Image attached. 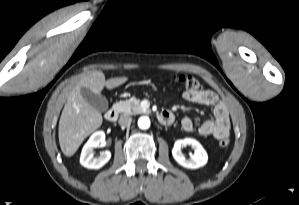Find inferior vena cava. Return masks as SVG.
<instances>
[{"label":"inferior vena cava","mask_w":299,"mask_h":205,"mask_svg":"<svg viewBox=\"0 0 299 205\" xmlns=\"http://www.w3.org/2000/svg\"><path fill=\"white\" fill-rule=\"evenodd\" d=\"M131 122H132V118L130 116H126V115H122L118 121V123L121 126H130Z\"/></svg>","instance_id":"1"}]
</instances>
